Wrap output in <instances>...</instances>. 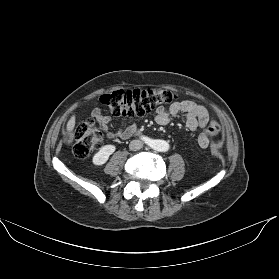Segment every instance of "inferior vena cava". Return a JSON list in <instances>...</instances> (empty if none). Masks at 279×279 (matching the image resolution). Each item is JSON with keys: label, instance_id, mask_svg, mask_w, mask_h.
I'll list each match as a JSON object with an SVG mask.
<instances>
[{"label": "inferior vena cava", "instance_id": "602c4592", "mask_svg": "<svg viewBox=\"0 0 279 279\" xmlns=\"http://www.w3.org/2000/svg\"><path fill=\"white\" fill-rule=\"evenodd\" d=\"M143 147V142L141 140H133L129 144V149L132 151L140 150Z\"/></svg>", "mask_w": 279, "mask_h": 279}]
</instances>
